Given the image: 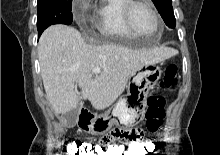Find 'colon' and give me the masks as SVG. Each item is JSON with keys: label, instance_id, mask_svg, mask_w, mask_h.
<instances>
[{"label": "colon", "instance_id": "5ec220e1", "mask_svg": "<svg viewBox=\"0 0 220 155\" xmlns=\"http://www.w3.org/2000/svg\"><path fill=\"white\" fill-rule=\"evenodd\" d=\"M178 85L177 66L169 65L165 69L160 86L166 89L176 88ZM165 100L157 93H152L147 100L145 112L146 126L150 132L160 129L165 116ZM117 142V141H116ZM94 145V143L71 141L67 143V155H157L155 139H139V141L124 142V146Z\"/></svg>", "mask_w": 220, "mask_h": 155}]
</instances>
